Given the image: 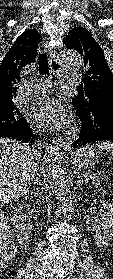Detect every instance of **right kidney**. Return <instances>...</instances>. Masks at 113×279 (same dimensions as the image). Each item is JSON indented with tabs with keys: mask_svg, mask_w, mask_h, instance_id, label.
Listing matches in <instances>:
<instances>
[{
	"mask_svg": "<svg viewBox=\"0 0 113 279\" xmlns=\"http://www.w3.org/2000/svg\"><path fill=\"white\" fill-rule=\"evenodd\" d=\"M13 228L17 233V241L22 246H27L31 238L32 225L26 222L23 208L18 206L12 213Z\"/></svg>",
	"mask_w": 113,
	"mask_h": 279,
	"instance_id": "right-kidney-1",
	"label": "right kidney"
}]
</instances>
